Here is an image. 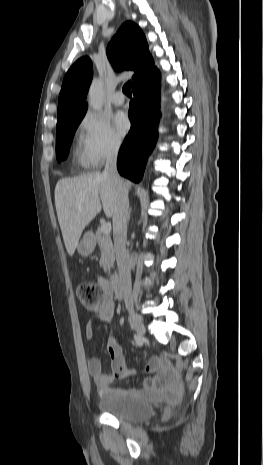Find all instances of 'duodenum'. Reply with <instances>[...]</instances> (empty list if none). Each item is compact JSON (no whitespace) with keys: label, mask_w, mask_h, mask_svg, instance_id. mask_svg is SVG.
Segmentation results:
<instances>
[{"label":"duodenum","mask_w":263,"mask_h":465,"mask_svg":"<svg viewBox=\"0 0 263 465\" xmlns=\"http://www.w3.org/2000/svg\"><path fill=\"white\" fill-rule=\"evenodd\" d=\"M109 285L113 289L115 295L118 298H121L123 296V288H122V283L121 279L118 274H112L110 279H109Z\"/></svg>","instance_id":"obj_1"}]
</instances>
